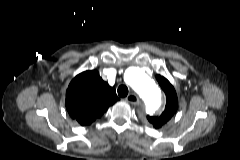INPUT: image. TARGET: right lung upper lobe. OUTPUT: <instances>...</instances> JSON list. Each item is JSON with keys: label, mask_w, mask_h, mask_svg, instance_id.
<instances>
[{"label": "right lung upper lobe", "mask_w": 240, "mask_h": 160, "mask_svg": "<svg viewBox=\"0 0 240 160\" xmlns=\"http://www.w3.org/2000/svg\"><path fill=\"white\" fill-rule=\"evenodd\" d=\"M118 100L114 87L95 70L77 75L66 91V109L83 126L90 125Z\"/></svg>", "instance_id": "right-lung-upper-lobe-1"}]
</instances>
